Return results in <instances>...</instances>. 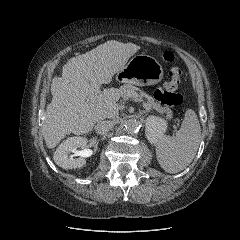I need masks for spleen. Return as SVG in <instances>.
<instances>
[{
	"label": "spleen",
	"mask_w": 240,
	"mask_h": 240,
	"mask_svg": "<svg viewBox=\"0 0 240 240\" xmlns=\"http://www.w3.org/2000/svg\"><path fill=\"white\" fill-rule=\"evenodd\" d=\"M201 139V127L192 109L185 112L176 136L164 135L156 145L160 166L168 173L184 170L194 159Z\"/></svg>",
	"instance_id": "spleen-1"
}]
</instances>
